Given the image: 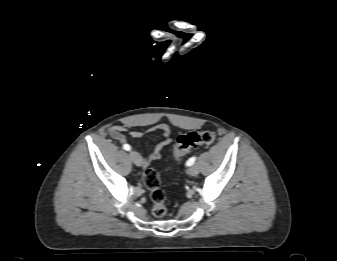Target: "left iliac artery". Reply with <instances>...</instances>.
Masks as SVG:
<instances>
[{"label":"left iliac artery","mask_w":337,"mask_h":261,"mask_svg":"<svg viewBox=\"0 0 337 261\" xmlns=\"http://www.w3.org/2000/svg\"><path fill=\"white\" fill-rule=\"evenodd\" d=\"M196 161V157H191L190 159L187 160L186 165L187 166H192L194 162Z\"/></svg>","instance_id":"44dca946"}]
</instances>
